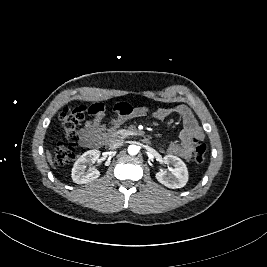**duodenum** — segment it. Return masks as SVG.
I'll return each instance as SVG.
<instances>
[{
    "label": "duodenum",
    "mask_w": 267,
    "mask_h": 267,
    "mask_svg": "<svg viewBox=\"0 0 267 267\" xmlns=\"http://www.w3.org/2000/svg\"><path fill=\"white\" fill-rule=\"evenodd\" d=\"M120 140V137L117 135H111L109 137L106 138V143H108L109 145H113L115 143H117ZM143 142L145 144H147L149 142L148 138H144Z\"/></svg>",
    "instance_id": "1"
}]
</instances>
